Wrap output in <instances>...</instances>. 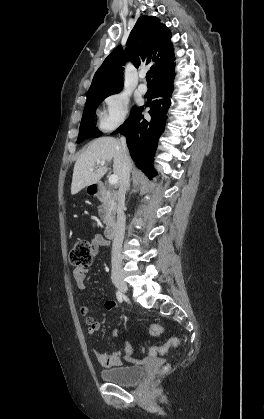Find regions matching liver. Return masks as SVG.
<instances>
[{
  "instance_id": "6515ba94",
  "label": "liver",
  "mask_w": 264,
  "mask_h": 419,
  "mask_svg": "<svg viewBox=\"0 0 264 419\" xmlns=\"http://www.w3.org/2000/svg\"><path fill=\"white\" fill-rule=\"evenodd\" d=\"M111 160H113L114 175L118 176L120 186L123 177V155L120 141L113 137H101L93 140L74 165L71 194L75 195L86 186L99 182L108 167L106 165L96 167V165ZM91 169L93 170L91 171Z\"/></svg>"
}]
</instances>
